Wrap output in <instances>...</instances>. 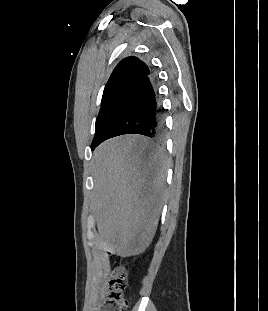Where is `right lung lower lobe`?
<instances>
[{"mask_svg": "<svg viewBox=\"0 0 268 311\" xmlns=\"http://www.w3.org/2000/svg\"><path fill=\"white\" fill-rule=\"evenodd\" d=\"M156 81L149 72L137 84L131 98L91 149L104 140L123 135L141 134L153 140L164 132L163 109L156 91Z\"/></svg>", "mask_w": 268, "mask_h": 311, "instance_id": "obj_1", "label": "right lung lower lobe"}]
</instances>
